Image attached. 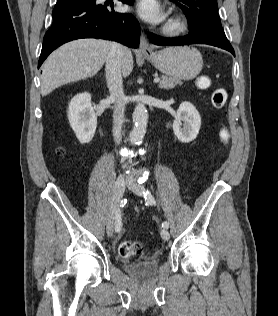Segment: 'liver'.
<instances>
[{"label":"liver","instance_id":"liver-1","mask_svg":"<svg viewBox=\"0 0 278 316\" xmlns=\"http://www.w3.org/2000/svg\"><path fill=\"white\" fill-rule=\"evenodd\" d=\"M112 42L101 39H78L62 45L45 61L41 75V94L48 95L67 83L94 76L104 65ZM133 69V56L125 48L122 73L127 77Z\"/></svg>","mask_w":278,"mask_h":316}]
</instances>
